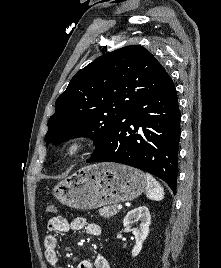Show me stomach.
Wrapping results in <instances>:
<instances>
[{
    "instance_id": "1",
    "label": "stomach",
    "mask_w": 221,
    "mask_h": 268,
    "mask_svg": "<svg viewBox=\"0 0 221 268\" xmlns=\"http://www.w3.org/2000/svg\"><path fill=\"white\" fill-rule=\"evenodd\" d=\"M146 189V175L114 163L85 166L58 183L56 199L74 209H94L138 197Z\"/></svg>"
}]
</instances>
